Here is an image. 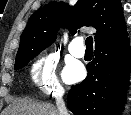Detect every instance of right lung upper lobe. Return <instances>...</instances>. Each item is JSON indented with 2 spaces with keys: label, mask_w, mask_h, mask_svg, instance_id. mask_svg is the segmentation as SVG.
I'll return each mask as SVG.
<instances>
[{
  "label": "right lung upper lobe",
  "mask_w": 131,
  "mask_h": 115,
  "mask_svg": "<svg viewBox=\"0 0 131 115\" xmlns=\"http://www.w3.org/2000/svg\"><path fill=\"white\" fill-rule=\"evenodd\" d=\"M71 34L82 26L96 28L95 47L127 35L120 0H78L70 7L51 2L36 11L24 29L16 58L30 50H43L55 39L61 24Z\"/></svg>",
  "instance_id": "right-lung-upper-lobe-1"
}]
</instances>
